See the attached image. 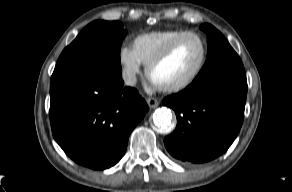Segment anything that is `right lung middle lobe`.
Wrapping results in <instances>:
<instances>
[{"instance_id": "1", "label": "right lung middle lobe", "mask_w": 292, "mask_h": 192, "mask_svg": "<svg viewBox=\"0 0 292 192\" xmlns=\"http://www.w3.org/2000/svg\"><path fill=\"white\" fill-rule=\"evenodd\" d=\"M125 35L118 21H93L63 50L57 62L97 63L121 73L120 46Z\"/></svg>"}]
</instances>
